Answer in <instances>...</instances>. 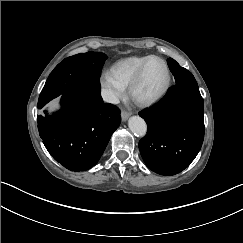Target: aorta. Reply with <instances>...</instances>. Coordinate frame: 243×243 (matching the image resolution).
Listing matches in <instances>:
<instances>
[{"label":"aorta","mask_w":243,"mask_h":243,"mask_svg":"<svg viewBox=\"0 0 243 243\" xmlns=\"http://www.w3.org/2000/svg\"><path fill=\"white\" fill-rule=\"evenodd\" d=\"M128 127L136 137H144L147 133V124L141 117H132L129 120Z\"/></svg>","instance_id":"1"}]
</instances>
